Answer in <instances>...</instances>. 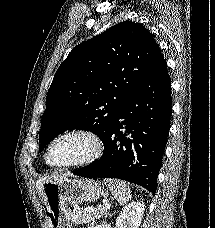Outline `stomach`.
Segmentation results:
<instances>
[{
    "instance_id": "obj_1",
    "label": "stomach",
    "mask_w": 215,
    "mask_h": 228,
    "mask_svg": "<svg viewBox=\"0 0 215 228\" xmlns=\"http://www.w3.org/2000/svg\"><path fill=\"white\" fill-rule=\"evenodd\" d=\"M43 190L47 228H71L68 206L81 202H95L106 192L104 186L96 180H73L66 176L45 182Z\"/></svg>"
}]
</instances>
